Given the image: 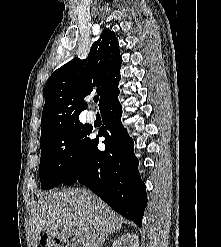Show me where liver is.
<instances>
[{
	"mask_svg": "<svg viewBox=\"0 0 221 247\" xmlns=\"http://www.w3.org/2000/svg\"><path fill=\"white\" fill-rule=\"evenodd\" d=\"M119 217L88 190L67 189L40 196L30 218L32 246L42 232L58 239L75 236L79 247H102L108 235L122 228Z\"/></svg>",
	"mask_w": 221,
	"mask_h": 247,
	"instance_id": "liver-1",
	"label": "liver"
}]
</instances>
